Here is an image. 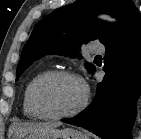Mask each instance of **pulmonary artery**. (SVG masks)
Returning a JSON list of instances; mask_svg holds the SVG:
<instances>
[{"instance_id": "1", "label": "pulmonary artery", "mask_w": 141, "mask_h": 139, "mask_svg": "<svg viewBox=\"0 0 141 139\" xmlns=\"http://www.w3.org/2000/svg\"><path fill=\"white\" fill-rule=\"evenodd\" d=\"M104 46L101 44H92L90 45V51L93 53H103L104 52Z\"/></svg>"}]
</instances>
